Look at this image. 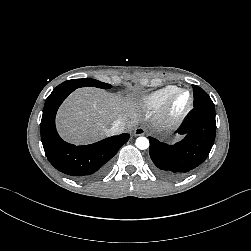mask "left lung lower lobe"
<instances>
[{
    "label": "left lung lower lobe",
    "instance_id": "obj_1",
    "mask_svg": "<svg viewBox=\"0 0 251 251\" xmlns=\"http://www.w3.org/2000/svg\"><path fill=\"white\" fill-rule=\"evenodd\" d=\"M177 132L185 137L174 145L149 137L154 170L169 179L187 175L209 155L216 134L215 109L194 107L186 124Z\"/></svg>",
    "mask_w": 251,
    "mask_h": 251
}]
</instances>
